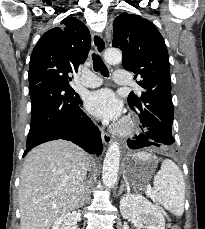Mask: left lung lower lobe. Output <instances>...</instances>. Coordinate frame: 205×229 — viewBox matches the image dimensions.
I'll return each instance as SVG.
<instances>
[{
  "label": "left lung lower lobe",
  "instance_id": "obj_1",
  "mask_svg": "<svg viewBox=\"0 0 205 229\" xmlns=\"http://www.w3.org/2000/svg\"><path fill=\"white\" fill-rule=\"evenodd\" d=\"M142 133L138 136H135V140H128V146L131 149L142 148L146 146L155 145L159 147L160 145H166L172 141L173 136L171 137L167 127H158V126H149L143 127L141 124ZM148 128V129H146Z\"/></svg>",
  "mask_w": 205,
  "mask_h": 229
}]
</instances>
